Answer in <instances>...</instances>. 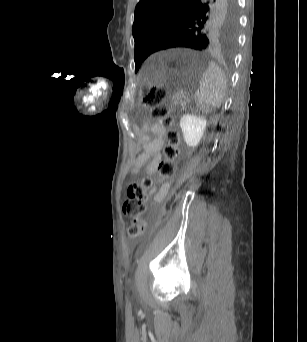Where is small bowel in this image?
I'll use <instances>...</instances> for the list:
<instances>
[{
	"label": "small bowel",
	"mask_w": 307,
	"mask_h": 342,
	"mask_svg": "<svg viewBox=\"0 0 307 342\" xmlns=\"http://www.w3.org/2000/svg\"><path fill=\"white\" fill-rule=\"evenodd\" d=\"M153 135V137L150 136ZM165 128L158 122H148L141 132L143 152L136 158L133 166V174L137 176L142 167L146 165V174L153 175L156 172L157 164L162 158L161 150L165 145ZM166 188L157 191L153 188L149 194L153 196L154 203L160 202L166 194Z\"/></svg>",
	"instance_id": "1"
}]
</instances>
